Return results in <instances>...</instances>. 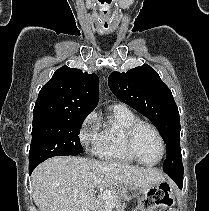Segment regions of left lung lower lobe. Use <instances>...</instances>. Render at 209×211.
Instances as JSON below:
<instances>
[{
	"label": "left lung lower lobe",
	"mask_w": 209,
	"mask_h": 211,
	"mask_svg": "<svg viewBox=\"0 0 209 211\" xmlns=\"http://www.w3.org/2000/svg\"><path fill=\"white\" fill-rule=\"evenodd\" d=\"M167 174L175 181V183L180 188H182V185H183V170L178 171V172H174V173L167 172Z\"/></svg>",
	"instance_id": "0a47b994"
}]
</instances>
